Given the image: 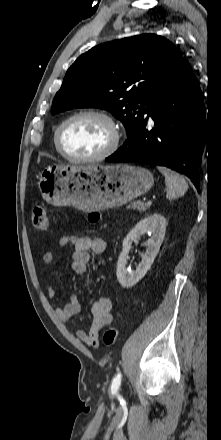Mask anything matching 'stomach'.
I'll return each instance as SVG.
<instances>
[{"instance_id":"stomach-1","label":"stomach","mask_w":221,"mask_h":440,"mask_svg":"<svg viewBox=\"0 0 221 440\" xmlns=\"http://www.w3.org/2000/svg\"><path fill=\"white\" fill-rule=\"evenodd\" d=\"M153 184L149 170L129 164L54 165L42 171L38 187L49 204L95 212L120 207Z\"/></svg>"}]
</instances>
